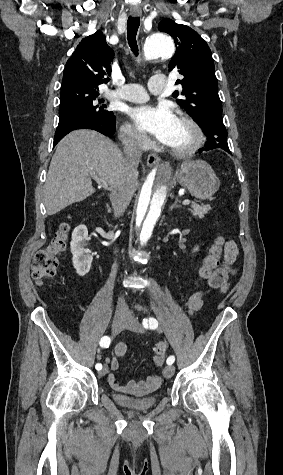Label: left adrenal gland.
Segmentation results:
<instances>
[{"mask_svg": "<svg viewBox=\"0 0 283 475\" xmlns=\"http://www.w3.org/2000/svg\"><path fill=\"white\" fill-rule=\"evenodd\" d=\"M178 198H176L174 204H172V206H170L169 210H173V208H180V206H178Z\"/></svg>", "mask_w": 283, "mask_h": 475, "instance_id": "a2214340", "label": "left adrenal gland"}]
</instances>
